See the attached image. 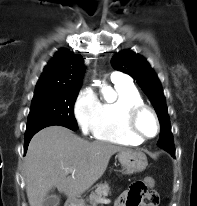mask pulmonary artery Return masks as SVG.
I'll return each instance as SVG.
<instances>
[{
	"instance_id": "e3ab8cb5",
	"label": "pulmonary artery",
	"mask_w": 197,
	"mask_h": 206,
	"mask_svg": "<svg viewBox=\"0 0 197 206\" xmlns=\"http://www.w3.org/2000/svg\"><path fill=\"white\" fill-rule=\"evenodd\" d=\"M111 80H112V82H117V83L118 82H129L130 81V79L121 72H113L111 74Z\"/></svg>"
}]
</instances>
